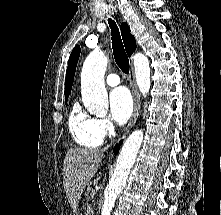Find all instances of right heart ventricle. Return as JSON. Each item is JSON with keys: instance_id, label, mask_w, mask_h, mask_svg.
<instances>
[{"instance_id": "1", "label": "right heart ventricle", "mask_w": 221, "mask_h": 215, "mask_svg": "<svg viewBox=\"0 0 221 215\" xmlns=\"http://www.w3.org/2000/svg\"><path fill=\"white\" fill-rule=\"evenodd\" d=\"M68 126L74 141L84 147H96L100 145L102 138L95 130V119L83 111L78 102H75L70 110Z\"/></svg>"}]
</instances>
